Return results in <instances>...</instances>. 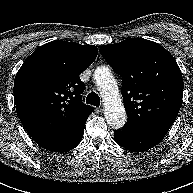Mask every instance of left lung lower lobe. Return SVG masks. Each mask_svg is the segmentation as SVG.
Wrapping results in <instances>:
<instances>
[{"mask_svg": "<svg viewBox=\"0 0 193 193\" xmlns=\"http://www.w3.org/2000/svg\"><path fill=\"white\" fill-rule=\"evenodd\" d=\"M169 128L164 126L130 127L114 131L115 141L132 152H143L160 143Z\"/></svg>", "mask_w": 193, "mask_h": 193, "instance_id": "0a47b994", "label": "left lung lower lobe"}]
</instances>
